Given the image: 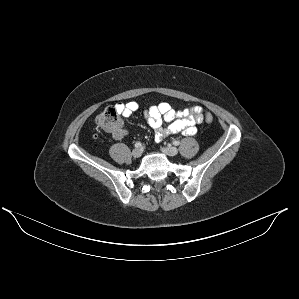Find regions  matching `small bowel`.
I'll return each instance as SVG.
<instances>
[{"mask_svg":"<svg viewBox=\"0 0 299 299\" xmlns=\"http://www.w3.org/2000/svg\"><path fill=\"white\" fill-rule=\"evenodd\" d=\"M114 107L122 116L130 117L138 111L139 104L135 101L118 102ZM144 114L148 124L154 130V136L157 141H162L174 134L192 136L197 131L196 124L203 120L201 107L195 106L175 110L167 102L149 106ZM127 134V130L121 129L119 132L112 134V137L120 140Z\"/></svg>","mask_w":299,"mask_h":299,"instance_id":"small-bowel-1","label":"small bowel"}]
</instances>
